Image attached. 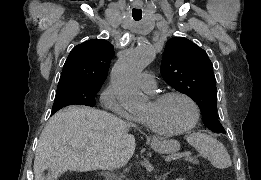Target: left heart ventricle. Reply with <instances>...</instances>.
<instances>
[{
  "mask_svg": "<svg viewBox=\"0 0 261 180\" xmlns=\"http://www.w3.org/2000/svg\"><path fill=\"white\" fill-rule=\"evenodd\" d=\"M135 116L147 125L157 136H167L181 132L192 117L190 104L181 97L173 96L157 103L150 97Z\"/></svg>",
  "mask_w": 261,
  "mask_h": 180,
  "instance_id": "obj_1",
  "label": "left heart ventricle"
}]
</instances>
